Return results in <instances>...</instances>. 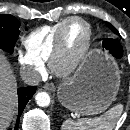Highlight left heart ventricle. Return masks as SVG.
<instances>
[{"instance_id":"1","label":"left heart ventricle","mask_w":130,"mask_h":130,"mask_svg":"<svg viewBox=\"0 0 130 130\" xmlns=\"http://www.w3.org/2000/svg\"><path fill=\"white\" fill-rule=\"evenodd\" d=\"M86 36V28L81 22L74 21L68 26L65 34V62L71 61L77 55L85 43Z\"/></svg>"}]
</instances>
